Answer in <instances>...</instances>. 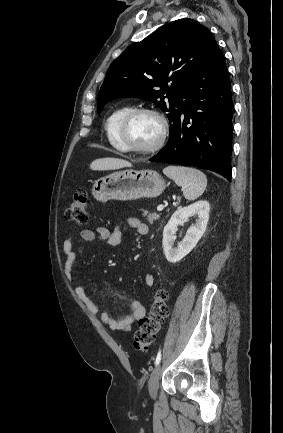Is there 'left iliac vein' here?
Here are the masks:
<instances>
[{"label": "left iliac vein", "instance_id": "obj_1", "mask_svg": "<svg viewBox=\"0 0 283 433\" xmlns=\"http://www.w3.org/2000/svg\"><path fill=\"white\" fill-rule=\"evenodd\" d=\"M160 373H161V367L160 365H157L150 375L149 382H148V390L152 397H155L157 395Z\"/></svg>", "mask_w": 283, "mask_h": 433}]
</instances>
